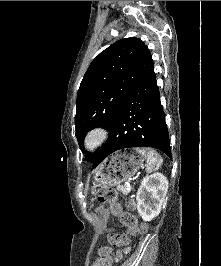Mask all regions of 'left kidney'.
I'll list each match as a JSON object with an SVG mask.
<instances>
[{"instance_id": "5707ae66", "label": "left kidney", "mask_w": 221, "mask_h": 266, "mask_svg": "<svg viewBox=\"0 0 221 266\" xmlns=\"http://www.w3.org/2000/svg\"><path fill=\"white\" fill-rule=\"evenodd\" d=\"M168 185L167 178L158 172L143 178L137 191V210L144 221H151L159 215Z\"/></svg>"}]
</instances>
